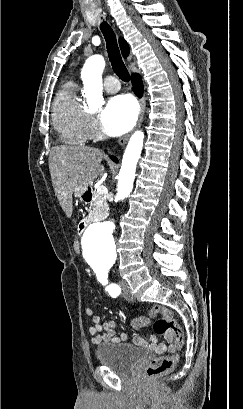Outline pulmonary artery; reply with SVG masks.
<instances>
[{
	"label": "pulmonary artery",
	"mask_w": 243,
	"mask_h": 409,
	"mask_svg": "<svg viewBox=\"0 0 243 409\" xmlns=\"http://www.w3.org/2000/svg\"><path fill=\"white\" fill-rule=\"evenodd\" d=\"M104 88L107 92L114 93L120 89V84L114 76H107L104 80Z\"/></svg>",
	"instance_id": "pulmonary-artery-1"
}]
</instances>
